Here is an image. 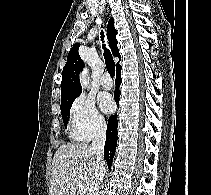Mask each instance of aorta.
Here are the masks:
<instances>
[{
  "mask_svg": "<svg viewBox=\"0 0 211 195\" xmlns=\"http://www.w3.org/2000/svg\"><path fill=\"white\" fill-rule=\"evenodd\" d=\"M80 82L84 89L88 87L90 80L86 69H84L80 74Z\"/></svg>",
  "mask_w": 211,
  "mask_h": 195,
  "instance_id": "aorta-1",
  "label": "aorta"
}]
</instances>
